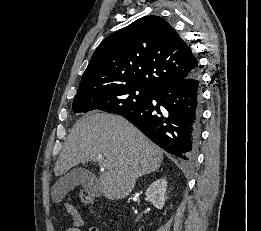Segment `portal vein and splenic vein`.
Listing matches in <instances>:
<instances>
[{
	"label": "portal vein and splenic vein",
	"instance_id": "18ae733b",
	"mask_svg": "<svg viewBox=\"0 0 261 231\" xmlns=\"http://www.w3.org/2000/svg\"><path fill=\"white\" fill-rule=\"evenodd\" d=\"M99 163H100V165H101V166H105V164H104V161H103V160H100V162H99Z\"/></svg>",
	"mask_w": 261,
	"mask_h": 231
}]
</instances>
